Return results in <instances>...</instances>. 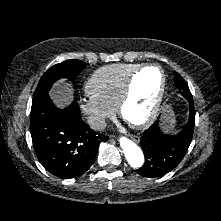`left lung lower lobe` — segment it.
<instances>
[{
	"instance_id": "left-lung-lower-lobe-1",
	"label": "left lung lower lobe",
	"mask_w": 221,
	"mask_h": 221,
	"mask_svg": "<svg viewBox=\"0 0 221 221\" xmlns=\"http://www.w3.org/2000/svg\"><path fill=\"white\" fill-rule=\"evenodd\" d=\"M190 106L189 120L177 135L161 132L158 120L140 138L145 163L136 172L144 177H160L173 170L185 156L192 141L195 109L193 98L187 99Z\"/></svg>"
}]
</instances>
